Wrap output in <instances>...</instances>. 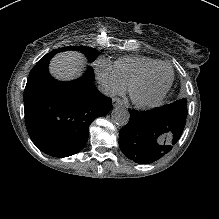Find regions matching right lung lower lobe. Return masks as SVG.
I'll return each instance as SVG.
<instances>
[{
	"mask_svg": "<svg viewBox=\"0 0 219 219\" xmlns=\"http://www.w3.org/2000/svg\"><path fill=\"white\" fill-rule=\"evenodd\" d=\"M51 57L44 56L29 74L24 90L25 123L40 150L65 157L84 147L89 125L111 110V100L92 85V69L75 81L53 79L48 73Z\"/></svg>",
	"mask_w": 219,
	"mask_h": 219,
	"instance_id": "98d812e1",
	"label": "right lung lower lobe"
}]
</instances>
